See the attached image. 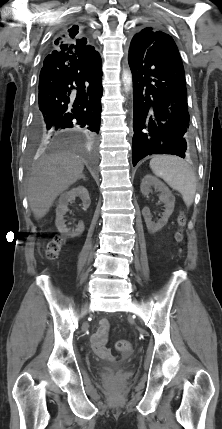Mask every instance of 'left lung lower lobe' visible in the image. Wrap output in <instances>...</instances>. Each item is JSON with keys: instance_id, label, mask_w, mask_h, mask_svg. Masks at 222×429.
Listing matches in <instances>:
<instances>
[{"instance_id": "obj_1", "label": "left lung lower lobe", "mask_w": 222, "mask_h": 429, "mask_svg": "<svg viewBox=\"0 0 222 429\" xmlns=\"http://www.w3.org/2000/svg\"><path fill=\"white\" fill-rule=\"evenodd\" d=\"M134 43L129 49L133 75L132 162L152 154L184 158L190 124L183 63L171 36Z\"/></svg>"}]
</instances>
